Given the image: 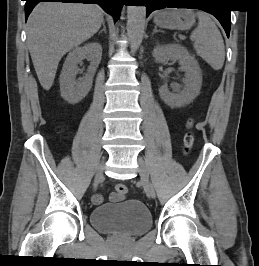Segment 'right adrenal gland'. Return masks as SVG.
<instances>
[{
  "label": "right adrenal gland",
  "instance_id": "obj_1",
  "mask_svg": "<svg viewBox=\"0 0 259 266\" xmlns=\"http://www.w3.org/2000/svg\"><path fill=\"white\" fill-rule=\"evenodd\" d=\"M102 25H103V29L100 30L98 34L102 33L103 31L106 33V25H105V21H103Z\"/></svg>",
  "mask_w": 259,
  "mask_h": 266
}]
</instances>
